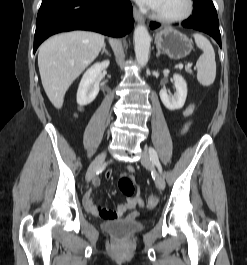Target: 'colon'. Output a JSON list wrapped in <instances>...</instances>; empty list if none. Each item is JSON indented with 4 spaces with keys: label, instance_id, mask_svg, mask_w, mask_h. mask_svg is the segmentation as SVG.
Here are the masks:
<instances>
[{
    "label": "colon",
    "instance_id": "1",
    "mask_svg": "<svg viewBox=\"0 0 247 265\" xmlns=\"http://www.w3.org/2000/svg\"><path fill=\"white\" fill-rule=\"evenodd\" d=\"M119 189L122 191L124 195L129 198H133L136 194L137 187L134 180L130 177H121L118 182ZM158 199L156 196L151 195L146 200V208L154 209L157 206Z\"/></svg>",
    "mask_w": 247,
    "mask_h": 265
}]
</instances>
